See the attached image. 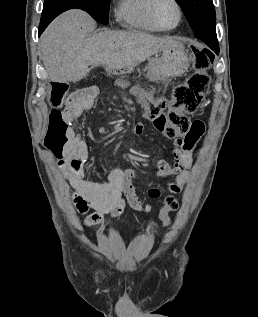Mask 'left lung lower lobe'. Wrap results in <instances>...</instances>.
Here are the masks:
<instances>
[{"label": "left lung lower lobe", "instance_id": "obj_1", "mask_svg": "<svg viewBox=\"0 0 258 317\" xmlns=\"http://www.w3.org/2000/svg\"><path fill=\"white\" fill-rule=\"evenodd\" d=\"M194 36L205 42L216 54H219V45L214 28L198 29L194 31Z\"/></svg>", "mask_w": 258, "mask_h": 317}]
</instances>
